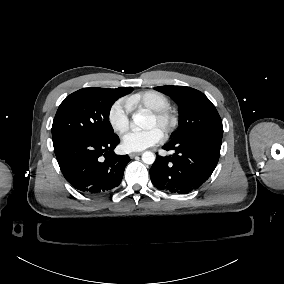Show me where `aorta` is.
<instances>
[{
  "label": "aorta",
  "instance_id": "obj_1",
  "mask_svg": "<svg viewBox=\"0 0 284 284\" xmlns=\"http://www.w3.org/2000/svg\"><path fill=\"white\" fill-rule=\"evenodd\" d=\"M133 121L134 124L137 125L138 127L147 129L150 127L151 118L144 110H141L133 115ZM142 161L148 165L153 164L155 161L154 153L150 151H145L142 154Z\"/></svg>",
  "mask_w": 284,
  "mask_h": 284
}]
</instances>
